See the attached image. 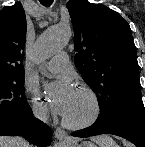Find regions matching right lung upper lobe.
<instances>
[{
    "instance_id": "obj_1",
    "label": "right lung upper lobe",
    "mask_w": 145,
    "mask_h": 147,
    "mask_svg": "<svg viewBox=\"0 0 145 147\" xmlns=\"http://www.w3.org/2000/svg\"><path fill=\"white\" fill-rule=\"evenodd\" d=\"M26 16L20 2L0 11V81L24 75Z\"/></svg>"
}]
</instances>
